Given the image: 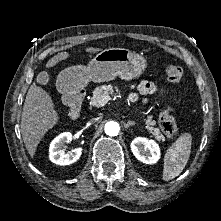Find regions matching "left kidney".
<instances>
[{
    "mask_svg": "<svg viewBox=\"0 0 221 221\" xmlns=\"http://www.w3.org/2000/svg\"><path fill=\"white\" fill-rule=\"evenodd\" d=\"M134 156L146 164H155L160 159V148L154 140L137 137L131 142Z\"/></svg>",
    "mask_w": 221,
    "mask_h": 221,
    "instance_id": "left-kidney-1",
    "label": "left kidney"
}]
</instances>
